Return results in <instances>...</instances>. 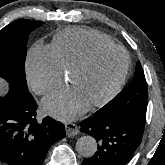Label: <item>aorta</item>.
Listing matches in <instances>:
<instances>
[{
	"mask_svg": "<svg viewBox=\"0 0 165 165\" xmlns=\"http://www.w3.org/2000/svg\"><path fill=\"white\" fill-rule=\"evenodd\" d=\"M76 151L84 157H91L97 151V142L94 137L86 135L76 142Z\"/></svg>",
	"mask_w": 165,
	"mask_h": 165,
	"instance_id": "762f6f07",
	"label": "aorta"
}]
</instances>
